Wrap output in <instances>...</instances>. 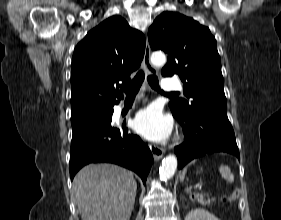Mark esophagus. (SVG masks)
I'll return each mask as SVG.
<instances>
[{"mask_svg": "<svg viewBox=\"0 0 281 220\" xmlns=\"http://www.w3.org/2000/svg\"><path fill=\"white\" fill-rule=\"evenodd\" d=\"M150 55H151V49H150L148 41L146 40L145 53H144V58H143V63H142L146 76L154 75L157 73V69L155 67H153L150 62ZM150 150L152 152L154 160H156V161L161 159L165 152V150L163 148H160L155 145H150Z\"/></svg>", "mask_w": 281, "mask_h": 220, "instance_id": "esophagus-1", "label": "esophagus"}]
</instances>
